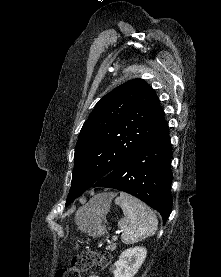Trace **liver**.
I'll use <instances>...</instances> for the list:
<instances>
[{"label": "liver", "mask_w": 221, "mask_h": 277, "mask_svg": "<svg viewBox=\"0 0 221 277\" xmlns=\"http://www.w3.org/2000/svg\"><path fill=\"white\" fill-rule=\"evenodd\" d=\"M113 197H114L113 194H104L102 196H98L97 198H100L102 201L106 203H110Z\"/></svg>", "instance_id": "6515ba94"}]
</instances>
